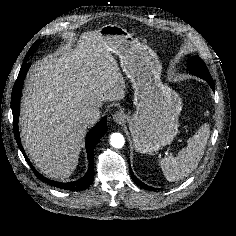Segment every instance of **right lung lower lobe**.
<instances>
[{
  "label": "right lung lower lobe",
  "mask_w": 236,
  "mask_h": 236,
  "mask_svg": "<svg viewBox=\"0 0 236 236\" xmlns=\"http://www.w3.org/2000/svg\"><path fill=\"white\" fill-rule=\"evenodd\" d=\"M28 56L26 55L25 60L23 62V65L20 69L19 75L17 77V80L14 84L13 90H12V96H11V107H12V113H13V129H14V135L16 142L22 151L26 161L28 162L30 168L33 170L35 175L38 177V179L53 185L60 189L65 190H72V191H78V190H84L87 188L92 182H93V176H94V166H93V160H94V147L104 136V134L107 131V119L104 117L87 135L86 138V150L87 155L89 159V168L86 173V175L74 182L70 183H59L56 181L49 180L42 176L38 171L35 170L33 165L31 164L30 160L27 158L25 151L22 147L21 140L19 137V131H18V118H19V106H20V97L23 87V82L25 75L30 67V63L27 62Z\"/></svg>",
  "instance_id": "right-lung-lower-lobe-1"
}]
</instances>
